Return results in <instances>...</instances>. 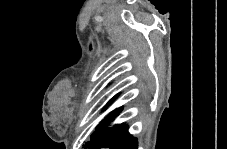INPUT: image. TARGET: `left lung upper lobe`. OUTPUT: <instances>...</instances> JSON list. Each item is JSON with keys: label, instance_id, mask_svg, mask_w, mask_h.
I'll return each instance as SVG.
<instances>
[{"label": "left lung upper lobe", "instance_id": "5c2ea615", "mask_svg": "<svg viewBox=\"0 0 227 149\" xmlns=\"http://www.w3.org/2000/svg\"><path fill=\"white\" fill-rule=\"evenodd\" d=\"M117 96H115L111 101H113ZM110 104V103H109Z\"/></svg>", "mask_w": 227, "mask_h": 149}]
</instances>
